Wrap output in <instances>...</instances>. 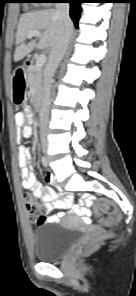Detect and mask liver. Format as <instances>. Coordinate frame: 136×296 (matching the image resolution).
I'll list each match as a JSON object with an SVG mask.
<instances>
[{"instance_id": "6515ba94", "label": "liver", "mask_w": 136, "mask_h": 296, "mask_svg": "<svg viewBox=\"0 0 136 296\" xmlns=\"http://www.w3.org/2000/svg\"><path fill=\"white\" fill-rule=\"evenodd\" d=\"M60 28V21L55 9H45L32 11L21 16L17 33L16 49L14 52V61L18 62L27 56L36 46V40L25 43L30 31H42L43 34L39 41L40 48H50L56 43Z\"/></svg>"}]
</instances>
